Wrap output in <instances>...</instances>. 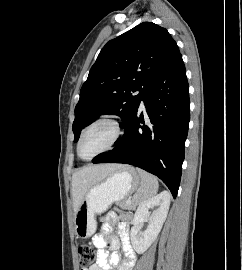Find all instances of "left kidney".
<instances>
[{
	"label": "left kidney",
	"instance_id": "left-kidney-1",
	"mask_svg": "<svg viewBox=\"0 0 242 270\" xmlns=\"http://www.w3.org/2000/svg\"><path fill=\"white\" fill-rule=\"evenodd\" d=\"M169 206L170 194L168 191H163L138 206L130 235L132 246L137 253H144L155 241L166 220ZM154 207L155 210L151 213L149 210ZM144 221H148V227L145 231H141Z\"/></svg>",
	"mask_w": 242,
	"mask_h": 270
}]
</instances>
